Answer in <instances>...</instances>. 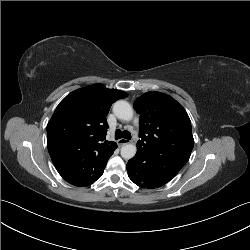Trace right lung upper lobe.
Returning <instances> with one entry per match:
<instances>
[{"mask_svg":"<svg viewBox=\"0 0 250 250\" xmlns=\"http://www.w3.org/2000/svg\"><path fill=\"white\" fill-rule=\"evenodd\" d=\"M127 93L94 84L69 93L47 125V147L59 174L70 184L88 186L102 176L117 148L106 141V116Z\"/></svg>","mask_w":250,"mask_h":250,"instance_id":"right-lung-upper-lobe-1","label":"right lung upper lobe"}]
</instances>
